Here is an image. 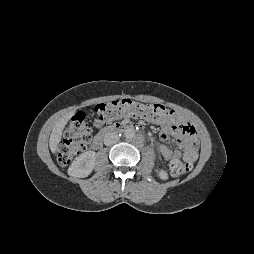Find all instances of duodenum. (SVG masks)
<instances>
[{"label":"duodenum","instance_id":"obj_1","mask_svg":"<svg viewBox=\"0 0 254 254\" xmlns=\"http://www.w3.org/2000/svg\"><path fill=\"white\" fill-rule=\"evenodd\" d=\"M135 127L133 125H128V124H122V123H117L114 124L110 127H107L103 129L97 136L92 141V147L94 149H98L101 147L102 142H103V137L111 132H120V131H125V130H133Z\"/></svg>","mask_w":254,"mask_h":254}]
</instances>
